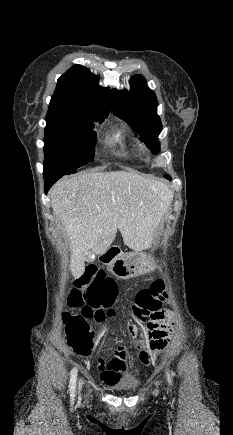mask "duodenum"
Instances as JSON below:
<instances>
[{
  "mask_svg": "<svg viewBox=\"0 0 233 435\" xmlns=\"http://www.w3.org/2000/svg\"><path fill=\"white\" fill-rule=\"evenodd\" d=\"M120 255V249L113 246H106L102 250H100L96 257L99 261L113 265Z\"/></svg>",
  "mask_w": 233,
  "mask_h": 435,
  "instance_id": "410a0bca",
  "label": "duodenum"
}]
</instances>
